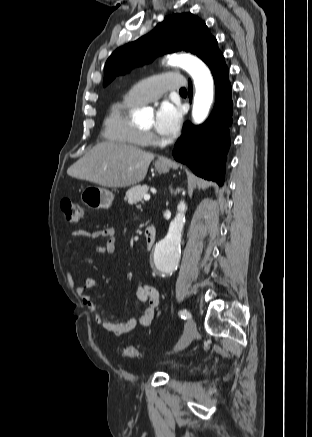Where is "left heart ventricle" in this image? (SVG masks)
<instances>
[{
	"label": "left heart ventricle",
	"mask_w": 312,
	"mask_h": 437,
	"mask_svg": "<svg viewBox=\"0 0 312 437\" xmlns=\"http://www.w3.org/2000/svg\"><path fill=\"white\" fill-rule=\"evenodd\" d=\"M153 124H154L153 118H150L148 123L144 126V128L149 129L153 126Z\"/></svg>",
	"instance_id": "obj_1"
}]
</instances>
